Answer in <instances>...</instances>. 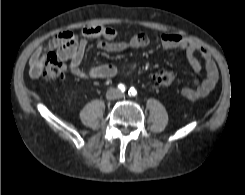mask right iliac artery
<instances>
[{"label":"right iliac artery","instance_id":"1","mask_svg":"<svg viewBox=\"0 0 245 195\" xmlns=\"http://www.w3.org/2000/svg\"><path fill=\"white\" fill-rule=\"evenodd\" d=\"M118 89L121 91V92H124L126 90V87L124 84H119L118 85Z\"/></svg>","mask_w":245,"mask_h":195}]
</instances>
